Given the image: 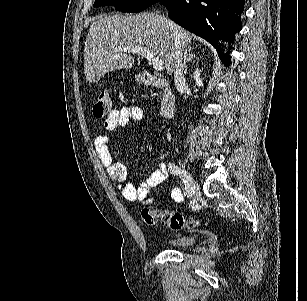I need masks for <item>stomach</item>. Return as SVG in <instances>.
<instances>
[{"instance_id":"obj_1","label":"stomach","mask_w":307,"mask_h":301,"mask_svg":"<svg viewBox=\"0 0 307 301\" xmlns=\"http://www.w3.org/2000/svg\"><path fill=\"white\" fill-rule=\"evenodd\" d=\"M135 80H137V82H141L142 80L141 74H135Z\"/></svg>"}]
</instances>
